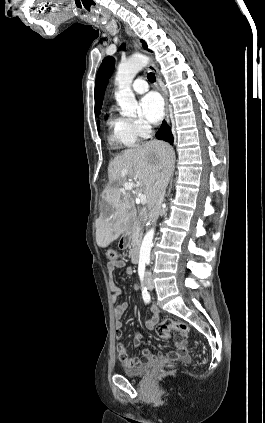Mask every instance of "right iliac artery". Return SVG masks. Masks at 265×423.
<instances>
[{"label":"right iliac artery","mask_w":265,"mask_h":423,"mask_svg":"<svg viewBox=\"0 0 265 423\" xmlns=\"http://www.w3.org/2000/svg\"><path fill=\"white\" fill-rule=\"evenodd\" d=\"M144 270H145L144 265H140L139 268H138V273H139L140 280H141L142 297H143V299L146 303H149L150 302V294H149L147 288L143 284Z\"/></svg>","instance_id":"1"}]
</instances>
